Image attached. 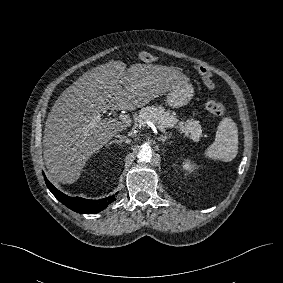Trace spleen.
I'll use <instances>...</instances> for the list:
<instances>
[{
  "label": "spleen",
  "instance_id": "obj_1",
  "mask_svg": "<svg viewBox=\"0 0 283 283\" xmlns=\"http://www.w3.org/2000/svg\"><path fill=\"white\" fill-rule=\"evenodd\" d=\"M238 153V128L231 117L220 121L215 141L204 151L203 156L212 160L232 161Z\"/></svg>",
  "mask_w": 283,
  "mask_h": 283
}]
</instances>
